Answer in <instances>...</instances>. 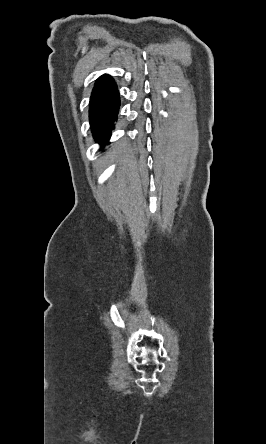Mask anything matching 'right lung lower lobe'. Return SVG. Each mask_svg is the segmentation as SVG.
<instances>
[{
    "instance_id": "1",
    "label": "right lung lower lobe",
    "mask_w": 266,
    "mask_h": 444,
    "mask_svg": "<svg viewBox=\"0 0 266 444\" xmlns=\"http://www.w3.org/2000/svg\"><path fill=\"white\" fill-rule=\"evenodd\" d=\"M119 106V93L112 77H99L92 91L89 117L94 138L102 146L108 143Z\"/></svg>"
}]
</instances>
